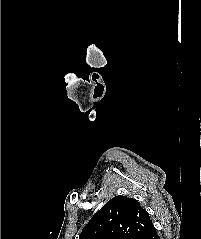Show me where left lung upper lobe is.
Instances as JSON below:
<instances>
[{
	"instance_id": "left-lung-upper-lobe-1",
	"label": "left lung upper lobe",
	"mask_w": 201,
	"mask_h": 239,
	"mask_svg": "<svg viewBox=\"0 0 201 239\" xmlns=\"http://www.w3.org/2000/svg\"><path fill=\"white\" fill-rule=\"evenodd\" d=\"M150 224L137 200L116 196L94 214L79 239H141Z\"/></svg>"
}]
</instances>
